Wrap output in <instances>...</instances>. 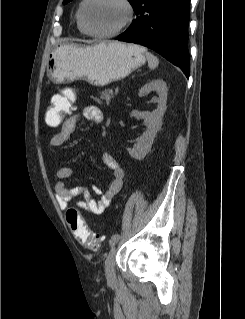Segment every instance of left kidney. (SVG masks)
<instances>
[{
  "mask_svg": "<svg viewBox=\"0 0 245 319\" xmlns=\"http://www.w3.org/2000/svg\"><path fill=\"white\" fill-rule=\"evenodd\" d=\"M156 90L159 95L158 106L153 112H140L133 110L130 115L132 117H137L143 119L147 130L140 136L132 149H128L129 154L138 160L143 159L146 154L150 151L153 140L160 129L161 120L166 110L167 102V85L163 80H152L149 83H146L139 90V96Z\"/></svg>",
  "mask_w": 245,
  "mask_h": 319,
  "instance_id": "5707ae66",
  "label": "left kidney"
}]
</instances>
